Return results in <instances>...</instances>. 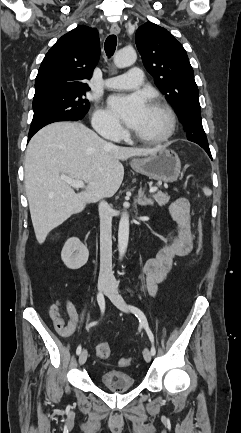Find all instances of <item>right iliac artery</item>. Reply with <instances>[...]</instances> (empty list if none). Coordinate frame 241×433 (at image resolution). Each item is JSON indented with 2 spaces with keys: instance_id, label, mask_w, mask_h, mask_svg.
I'll return each instance as SVG.
<instances>
[{
  "instance_id": "1",
  "label": "right iliac artery",
  "mask_w": 241,
  "mask_h": 433,
  "mask_svg": "<svg viewBox=\"0 0 241 433\" xmlns=\"http://www.w3.org/2000/svg\"><path fill=\"white\" fill-rule=\"evenodd\" d=\"M97 301H98V304H99L101 311L103 313L104 308H105V301H104V296L102 293L98 294ZM95 324H96V322L90 323L89 325L86 326V329H89L91 326H93ZM81 350H82L81 345H79L76 349V354L79 355L81 353Z\"/></svg>"
}]
</instances>
